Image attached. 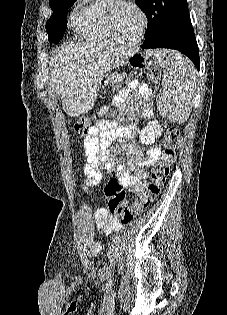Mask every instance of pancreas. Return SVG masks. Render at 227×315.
<instances>
[{
	"mask_svg": "<svg viewBox=\"0 0 227 315\" xmlns=\"http://www.w3.org/2000/svg\"><path fill=\"white\" fill-rule=\"evenodd\" d=\"M125 78H127V74L126 73H123V74H120V75L111 76L110 77V83H112V85L114 86L113 90L115 88L118 89L120 87L119 84H121Z\"/></svg>",
	"mask_w": 227,
	"mask_h": 315,
	"instance_id": "pancreas-1",
	"label": "pancreas"
}]
</instances>
